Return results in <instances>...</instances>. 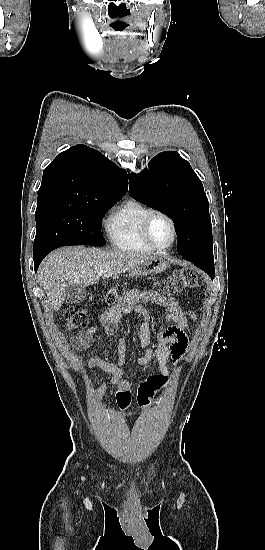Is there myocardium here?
Wrapping results in <instances>:
<instances>
[{
    "mask_svg": "<svg viewBox=\"0 0 265 550\" xmlns=\"http://www.w3.org/2000/svg\"><path fill=\"white\" fill-rule=\"evenodd\" d=\"M159 216L167 220L171 227L172 231V240L167 246L160 247L158 246L152 239L150 235V224L154 217ZM141 232L143 239L147 243L149 247H151L155 251H166L173 247L177 240V227L175 224V221L172 219L171 216H169L167 213L160 211V210H151L143 219L142 225H141Z\"/></svg>",
    "mask_w": 265,
    "mask_h": 550,
    "instance_id": "myocardium-1",
    "label": "myocardium"
}]
</instances>
